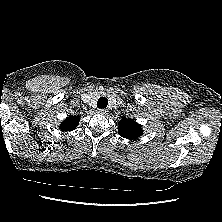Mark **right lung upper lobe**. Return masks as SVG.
<instances>
[{"label": "right lung upper lobe", "instance_id": "cb5924a9", "mask_svg": "<svg viewBox=\"0 0 222 222\" xmlns=\"http://www.w3.org/2000/svg\"><path fill=\"white\" fill-rule=\"evenodd\" d=\"M79 123L78 116H69L65 119L64 122L60 125L61 130L63 131H71L74 130Z\"/></svg>", "mask_w": 222, "mask_h": 222}]
</instances>
